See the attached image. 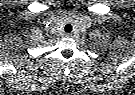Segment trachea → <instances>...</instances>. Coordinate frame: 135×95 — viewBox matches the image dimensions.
I'll use <instances>...</instances> for the list:
<instances>
[{
  "label": "trachea",
  "instance_id": "3493384b",
  "mask_svg": "<svg viewBox=\"0 0 135 95\" xmlns=\"http://www.w3.org/2000/svg\"><path fill=\"white\" fill-rule=\"evenodd\" d=\"M65 32H71L72 31V25L71 24H67L64 28Z\"/></svg>",
  "mask_w": 135,
  "mask_h": 95
}]
</instances>
